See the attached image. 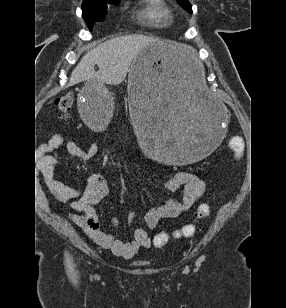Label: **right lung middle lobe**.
I'll use <instances>...</instances> for the list:
<instances>
[{"mask_svg":"<svg viewBox=\"0 0 286 308\" xmlns=\"http://www.w3.org/2000/svg\"><path fill=\"white\" fill-rule=\"evenodd\" d=\"M119 2L120 0L84 1L82 5V16L89 29H92L95 21H100L105 18L109 4L117 5Z\"/></svg>","mask_w":286,"mask_h":308,"instance_id":"right-lung-middle-lobe-1","label":"right lung middle lobe"}]
</instances>
